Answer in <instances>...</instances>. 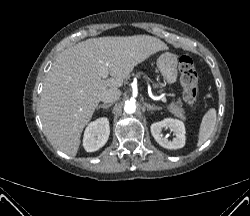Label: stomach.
Listing matches in <instances>:
<instances>
[{
    "label": "stomach",
    "instance_id": "1",
    "mask_svg": "<svg viewBox=\"0 0 250 216\" xmlns=\"http://www.w3.org/2000/svg\"><path fill=\"white\" fill-rule=\"evenodd\" d=\"M177 65V56L169 52L161 54L157 60V67L164 80L169 84H174L177 81Z\"/></svg>",
    "mask_w": 250,
    "mask_h": 216
}]
</instances>
